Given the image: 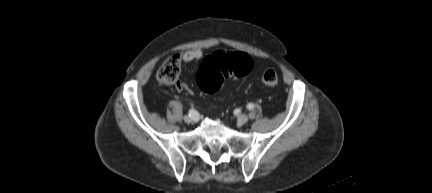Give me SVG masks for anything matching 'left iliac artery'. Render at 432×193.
<instances>
[{
    "label": "left iliac artery",
    "instance_id": "left-iliac-artery-1",
    "mask_svg": "<svg viewBox=\"0 0 432 193\" xmlns=\"http://www.w3.org/2000/svg\"><path fill=\"white\" fill-rule=\"evenodd\" d=\"M247 108H248L249 110L253 109V108H254V104H253V103H249V104L247 105Z\"/></svg>",
    "mask_w": 432,
    "mask_h": 193
}]
</instances>
